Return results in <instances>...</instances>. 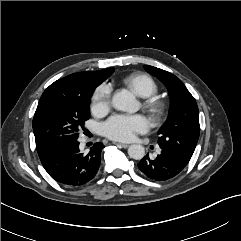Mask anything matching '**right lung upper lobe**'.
I'll return each instance as SVG.
<instances>
[{
	"label": "right lung upper lobe",
	"mask_w": 241,
	"mask_h": 241,
	"mask_svg": "<svg viewBox=\"0 0 241 241\" xmlns=\"http://www.w3.org/2000/svg\"><path fill=\"white\" fill-rule=\"evenodd\" d=\"M114 71L113 68H108L100 71H85L71 74L67 77H64L60 80L55 81L52 83L43 93L40 100H42L46 94H48L54 88H69L72 90L79 89L83 84L88 82H103L107 79L112 72Z\"/></svg>",
	"instance_id": "cb5924a9"
}]
</instances>
